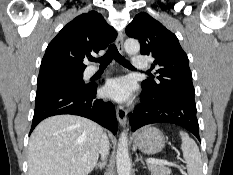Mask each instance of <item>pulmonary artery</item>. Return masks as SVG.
I'll return each mask as SVG.
<instances>
[{
  "mask_svg": "<svg viewBox=\"0 0 233 175\" xmlns=\"http://www.w3.org/2000/svg\"><path fill=\"white\" fill-rule=\"evenodd\" d=\"M132 64H133V67L135 69H145V68L148 67V62L141 55H135V56H133L132 57ZM96 72H97V68H94V67L89 68L88 71H87V73L89 75H92V74H94Z\"/></svg>",
  "mask_w": 233,
  "mask_h": 175,
  "instance_id": "e3ab8cb5",
  "label": "pulmonary artery"
}]
</instances>
